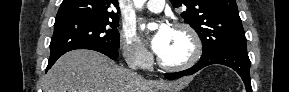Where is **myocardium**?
I'll return each mask as SVG.
<instances>
[{"label": "myocardium", "mask_w": 289, "mask_h": 92, "mask_svg": "<svg viewBox=\"0 0 289 92\" xmlns=\"http://www.w3.org/2000/svg\"><path fill=\"white\" fill-rule=\"evenodd\" d=\"M174 29L184 31L189 36L193 46L192 54L187 61L180 64L166 63L160 56L158 57V63L161 68L168 71H183L191 68L200 60L203 45L199 34L190 24L179 22L174 24Z\"/></svg>", "instance_id": "1"}]
</instances>
